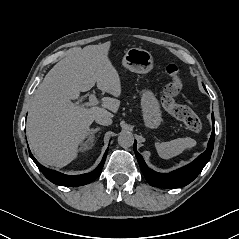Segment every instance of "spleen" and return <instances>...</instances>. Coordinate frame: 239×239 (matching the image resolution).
<instances>
[{
  "label": "spleen",
  "mask_w": 239,
  "mask_h": 239,
  "mask_svg": "<svg viewBox=\"0 0 239 239\" xmlns=\"http://www.w3.org/2000/svg\"><path fill=\"white\" fill-rule=\"evenodd\" d=\"M196 146V141L190 137L174 139L170 142L155 143L158 155L163 159H170L181 154L184 150Z\"/></svg>",
  "instance_id": "1"
}]
</instances>
